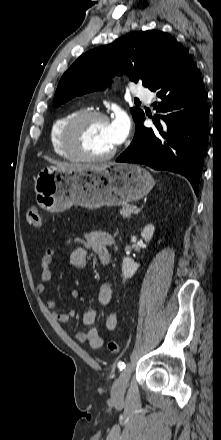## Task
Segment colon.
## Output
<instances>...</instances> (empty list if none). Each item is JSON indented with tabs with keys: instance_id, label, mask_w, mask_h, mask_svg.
Here are the masks:
<instances>
[{
	"instance_id": "5ec220e1",
	"label": "colon",
	"mask_w": 221,
	"mask_h": 440,
	"mask_svg": "<svg viewBox=\"0 0 221 440\" xmlns=\"http://www.w3.org/2000/svg\"><path fill=\"white\" fill-rule=\"evenodd\" d=\"M27 220L32 228L40 229L43 226V219L40 209L37 206H31L27 211ZM107 348L111 353H118L120 351V344L115 340H110Z\"/></svg>"
}]
</instances>
